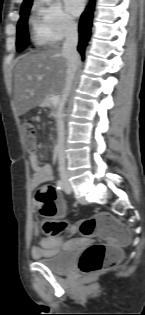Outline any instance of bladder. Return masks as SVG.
Returning a JSON list of instances; mask_svg holds the SVG:
<instances>
[{
  "label": "bladder",
  "instance_id": "obj_1",
  "mask_svg": "<svg viewBox=\"0 0 145 315\" xmlns=\"http://www.w3.org/2000/svg\"><path fill=\"white\" fill-rule=\"evenodd\" d=\"M68 249H79V248H65L58 251L55 255L50 258L41 259V263L50 271L54 273H63L69 270L75 260V256H68Z\"/></svg>",
  "mask_w": 145,
  "mask_h": 315
}]
</instances>
